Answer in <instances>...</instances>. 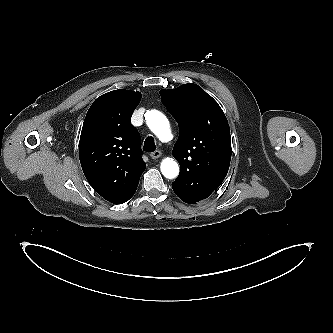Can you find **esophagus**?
Masks as SVG:
<instances>
[{"label": "esophagus", "instance_id": "34e87169", "mask_svg": "<svg viewBox=\"0 0 333 333\" xmlns=\"http://www.w3.org/2000/svg\"><path fill=\"white\" fill-rule=\"evenodd\" d=\"M162 155L161 151L156 150L150 154V157L152 159H158Z\"/></svg>", "mask_w": 333, "mask_h": 333}]
</instances>
